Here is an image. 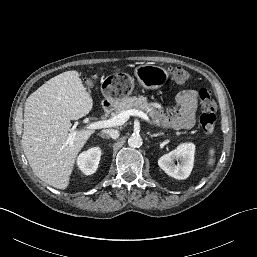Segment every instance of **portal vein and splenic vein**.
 <instances>
[{"instance_id": "1", "label": "portal vein and splenic vein", "mask_w": 257, "mask_h": 257, "mask_svg": "<svg viewBox=\"0 0 257 257\" xmlns=\"http://www.w3.org/2000/svg\"><path fill=\"white\" fill-rule=\"evenodd\" d=\"M130 116H138L149 123L151 122L148 115L146 113H144L143 111L137 110V109H131V110L123 111V112L119 113L118 115L111 117L109 119L92 122V123L86 125L84 128L87 130H96V129H101V128L120 126V125H123L129 119ZM81 130H84V129H81ZM77 131L78 130H73L70 133L69 138H68L69 142L73 141Z\"/></svg>"}]
</instances>
